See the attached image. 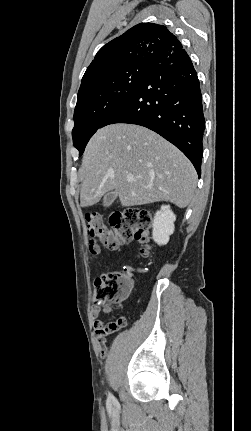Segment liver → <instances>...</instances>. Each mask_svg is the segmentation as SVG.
<instances>
[{
	"instance_id": "6515ba94",
	"label": "liver",
	"mask_w": 251,
	"mask_h": 431,
	"mask_svg": "<svg viewBox=\"0 0 251 431\" xmlns=\"http://www.w3.org/2000/svg\"><path fill=\"white\" fill-rule=\"evenodd\" d=\"M80 176L82 207L114 193L123 207L169 201L184 208L197 183L192 163L179 149L145 127L126 123L107 125L93 135Z\"/></svg>"
}]
</instances>
